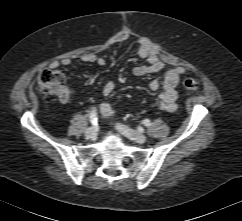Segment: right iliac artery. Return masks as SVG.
I'll return each instance as SVG.
<instances>
[{
  "instance_id": "82829eb1",
  "label": "right iliac artery",
  "mask_w": 242,
  "mask_h": 221,
  "mask_svg": "<svg viewBox=\"0 0 242 221\" xmlns=\"http://www.w3.org/2000/svg\"><path fill=\"white\" fill-rule=\"evenodd\" d=\"M89 119H90V123L92 125H96L97 124V122H98V115H97V111L95 109L91 111Z\"/></svg>"
}]
</instances>
